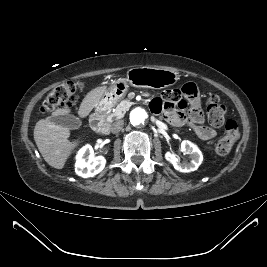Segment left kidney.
<instances>
[{"label":"left kidney","instance_id":"1","mask_svg":"<svg viewBox=\"0 0 267 267\" xmlns=\"http://www.w3.org/2000/svg\"><path fill=\"white\" fill-rule=\"evenodd\" d=\"M181 149L184 153L190 154V163L181 162L180 159H178L176 155L171 152H166V160L170 162L179 172L188 173L197 170L203 160V156L199 148L192 142L184 140L181 143Z\"/></svg>","mask_w":267,"mask_h":267}]
</instances>
